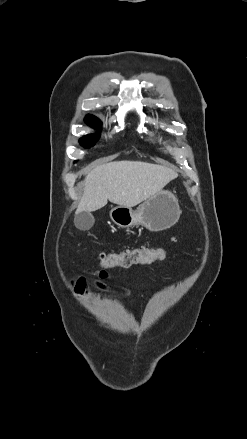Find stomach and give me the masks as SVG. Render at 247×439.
Masks as SVG:
<instances>
[{
  "label": "stomach",
  "instance_id": "1",
  "mask_svg": "<svg viewBox=\"0 0 247 439\" xmlns=\"http://www.w3.org/2000/svg\"><path fill=\"white\" fill-rule=\"evenodd\" d=\"M181 214L178 198L169 190H161L148 198L136 210L117 206L110 211L111 220L121 228L136 225L158 232L173 226Z\"/></svg>",
  "mask_w": 247,
  "mask_h": 439
}]
</instances>
